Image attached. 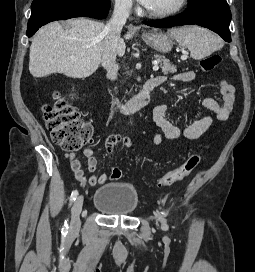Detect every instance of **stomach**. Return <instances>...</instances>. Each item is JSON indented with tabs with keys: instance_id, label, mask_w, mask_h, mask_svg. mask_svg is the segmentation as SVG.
<instances>
[{
	"instance_id": "0dacf381",
	"label": "stomach",
	"mask_w": 255,
	"mask_h": 272,
	"mask_svg": "<svg viewBox=\"0 0 255 272\" xmlns=\"http://www.w3.org/2000/svg\"><path fill=\"white\" fill-rule=\"evenodd\" d=\"M143 41L153 49L168 53L173 47V37L163 31L152 30L142 34Z\"/></svg>"
}]
</instances>
